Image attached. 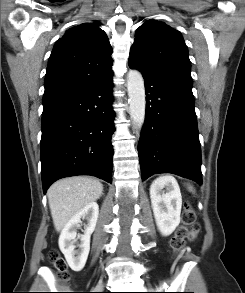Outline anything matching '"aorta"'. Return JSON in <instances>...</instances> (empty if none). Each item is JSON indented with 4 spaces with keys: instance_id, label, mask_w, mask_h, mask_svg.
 Returning <instances> with one entry per match:
<instances>
[{
    "instance_id": "762f6f07",
    "label": "aorta",
    "mask_w": 245,
    "mask_h": 293,
    "mask_svg": "<svg viewBox=\"0 0 245 293\" xmlns=\"http://www.w3.org/2000/svg\"><path fill=\"white\" fill-rule=\"evenodd\" d=\"M127 89L129 96V112L133 123L141 128L145 120V87L141 73L130 70L127 74Z\"/></svg>"
}]
</instances>
